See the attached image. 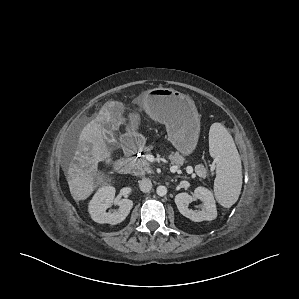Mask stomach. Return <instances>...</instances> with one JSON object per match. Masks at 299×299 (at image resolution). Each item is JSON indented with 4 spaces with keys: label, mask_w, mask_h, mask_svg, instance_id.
I'll return each mask as SVG.
<instances>
[{
    "label": "stomach",
    "mask_w": 299,
    "mask_h": 299,
    "mask_svg": "<svg viewBox=\"0 0 299 299\" xmlns=\"http://www.w3.org/2000/svg\"><path fill=\"white\" fill-rule=\"evenodd\" d=\"M152 120L166 126L168 139L184 156L196 148L200 134V116L194 101L187 95L171 89L157 87L145 91L138 102ZM138 117L130 115L132 122Z\"/></svg>",
    "instance_id": "1"
}]
</instances>
